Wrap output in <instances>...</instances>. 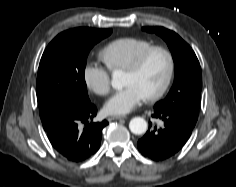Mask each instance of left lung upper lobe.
I'll use <instances>...</instances> for the list:
<instances>
[{
	"instance_id": "obj_1",
	"label": "left lung upper lobe",
	"mask_w": 236,
	"mask_h": 187,
	"mask_svg": "<svg viewBox=\"0 0 236 187\" xmlns=\"http://www.w3.org/2000/svg\"><path fill=\"white\" fill-rule=\"evenodd\" d=\"M156 33L167 43L175 64V79L167 97L154 107L173 110L198 118L202 74L199 61L191 47L175 32L164 27H143Z\"/></svg>"
}]
</instances>
